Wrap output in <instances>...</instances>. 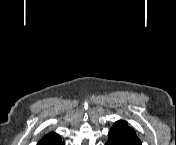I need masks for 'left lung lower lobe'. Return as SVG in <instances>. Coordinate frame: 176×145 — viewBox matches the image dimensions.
<instances>
[{
  "label": "left lung lower lobe",
  "instance_id": "obj_1",
  "mask_svg": "<svg viewBox=\"0 0 176 145\" xmlns=\"http://www.w3.org/2000/svg\"><path fill=\"white\" fill-rule=\"evenodd\" d=\"M108 135L109 138L106 145H127L119 136L112 133H109Z\"/></svg>",
  "mask_w": 176,
  "mask_h": 145
}]
</instances>
